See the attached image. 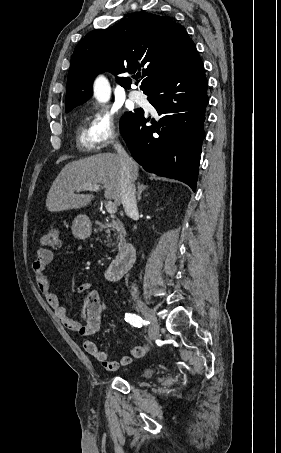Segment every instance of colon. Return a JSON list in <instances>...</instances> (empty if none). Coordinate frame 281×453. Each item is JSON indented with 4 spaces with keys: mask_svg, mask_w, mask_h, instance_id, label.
I'll list each match as a JSON object with an SVG mask.
<instances>
[{
    "mask_svg": "<svg viewBox=\"0 0 281 453\" xmlns=\"http://www.w3.org/2000/svg\"><path fill=\"white\" fill-rule=\"evenodd\" d=\"M59 232V226H49L40 239V245H45L47 251L57 250Z\"/></svg>",
    "mask_w": 281,
    "mask_h": 453,
    "instance_id": "5ec220e1",
    "label": "colon"
}]
</instances>
